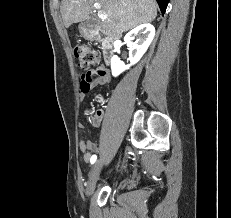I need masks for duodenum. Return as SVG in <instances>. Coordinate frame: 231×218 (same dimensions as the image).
Wrapping results in <instances>:
<instances>
[{"label":"duodenum","instance_id":"1","mask_svg":"<svg viewBox=\"0 0 231 218\" xmlns=\"http://www.w3.org/2000/svg\"><path fill=\"white\" fill-rule=\"evenodd\" d=\"M85 31L90 39L103 41L104 59L106 64H109L115 52V36L105 33L99 26H87Z\"/></svg>","mask_w":231,"mask_h":218}]
</instances>
